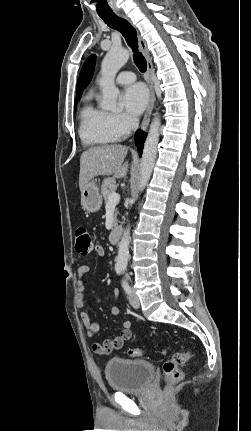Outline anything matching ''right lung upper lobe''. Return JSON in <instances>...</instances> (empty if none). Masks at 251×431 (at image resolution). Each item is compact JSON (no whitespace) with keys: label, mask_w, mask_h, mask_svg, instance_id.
I'll use <instances>...</instances> for the list:
<instances>
[{"label":"right lung upper lobe","mask_w":251,"mask_h":431,"mask_svg":"<svg viewBox=\"0 0 251 431\" xmlns=\"http://www.w3.org/2000/svg\"><path fill=\"white\" fill-rule=\"evenodd\" d=\"M95 61L96 56L94 54L89 56L85 61L77 82L76 99L81 98L83 89L90 83L94 74Z\"/></svg>","instance_id":"cb5924a9"}]
</instances>
